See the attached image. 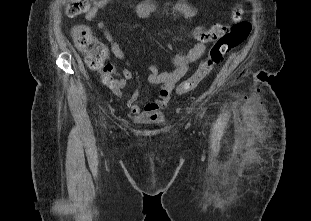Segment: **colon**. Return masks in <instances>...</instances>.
Here are the masks:
<instances>
[{
    "instance_id": "1",
    "label": "colon",
    "mask_w": 311,
    "mask_h": 221,
    "mask_svg": "<svg viewBox=\"0 0 311 221\" xmlns=\"http://www.w3.org/2000/svg\"><path fill=\"white\" fill-rule=\"evenodd\" d=\"M94 0H73L64 2V12H70V17H90L91 7L86 4H93ZM252 15V12H250ZM231 17L237 21L233 32L229 36H224V31H228L229 24L215 23L210 30L200 32L197 36L198 41L207 42L212 40V36H220V41H215L208 57L198 66L195 73L186 81L180 83L175 88L178 95L187 94L211 74L213 69L219 65L226 53L233 51L250 34L249 23L243 19V23H238V18H243L238 6L232 7ZM73 41L79 51L86 59L90 69L101 74L103 79H109L112 75L111 69L105 65L107 60V49L103 45L96 44L91 28L86 24L77 25L72 29Z\"/></svg>"
}]
</instances>
